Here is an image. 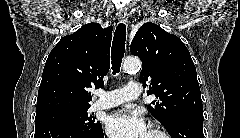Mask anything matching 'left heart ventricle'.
Returning a JSON list of instances; mask_svg holds the SVG:
<instances>
[{"label": "left heart ventricle", "mask_w": 240, "mask_h": 138, "mask_svg": "<svg viewBox=\"0 0 240 138\" xmlns=\"http://www.w3.org/2000/svg\"><path fill=\"white\" fill-rule=\"evenodd\" d=\"M147 138H159V136L156 133L149 131Z\"/></svg>", "instance_id": "left-heart-ventricle-1"}]
</instances>
